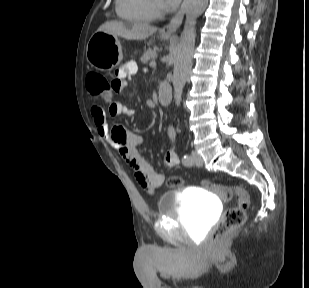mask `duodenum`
Wrapping results in <instances>:
<instances>
[{
	"label": "duodenum",
	"mask_w": 309,
	"mask_h": 288,
	"mask_svg": "<svg viewBox=\"0 0 309 288\" xmlns=\"http://www.w3.org/2000/svg\"><path fill=\"white\" fill-rule=\"evenodd\" d=\"M159 103L163 107H167L172 102V90L171 87L166 83H161L159 86V95H158Z\"/></svg>",
	"instance_id": "duodenum-1"
}]
</instances>
